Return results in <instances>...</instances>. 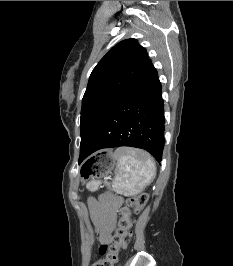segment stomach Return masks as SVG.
<instances>
[{"label":"stomach","mask_w":233,"mask_h":266,"mask_svg":"<svg viewBox=\"0 0 233 266\" xmlns=\"http://www.w3.org/2000/svg\"><path fill=\"white\" fill-rule=\"evenodd\" d=\"M115 147H100V152H91L89 161H84V166H116L118 156H113ZM107 167H79V176L84 180V185H95V180H103Z\"/></svg>","instance_id":"obj_1"}]
</instances>
